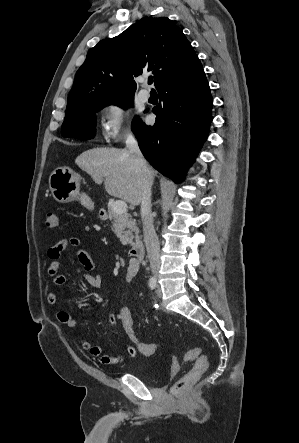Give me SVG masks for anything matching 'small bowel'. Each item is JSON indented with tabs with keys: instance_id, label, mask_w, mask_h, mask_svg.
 <instances>
[{
	"instance_id": "c3829d8e",
	"label": "small bowel",
	"mask_w": 299,
	"mask_h": 443,
	"mask_svg": "<svg viewBox=\"0 0 299 443\" xmlns=\"http://www.w3.org/2000/svg\"><path fill=\"white\" fill-rule=\"evenodd\" d=\"M67 247L77 248V258L83 267V272L81 274L82 279L91 287L98 288L101 285V277L99 275H93L91 272L95 269V264L88 253V251L81 246V240L76 237L65 238L54 244L48 250V257L51 260L48 267V274L53 278V284L56 287H60L65 284L66 277L59 274L60 270V257L63 251ZM138 272V264L130 263L126 271V281L130 282ZM47 302L50 305H56L58 303V296L56 293L51 292L47 296ZM56 319L61 324H64L69 329H75L77 327L76 320L65 310H58L56 312ZM109 321L111 325L117 326L120 324L119 316L116 312H111L109 314ZM121 325V324H120ZM80 346L87 351L90 355L97 358L98 361L103 365H114L120 364L126 360L127 357L133 358L137 354V348L133 344H128L126 346V352L120 353L116 356H110L104 353L102 347L92 344L89 340L83 336L78 338Z\"/></svg>"
}]
</instances>
